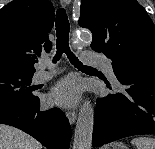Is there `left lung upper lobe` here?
<instances>
[{
  "label": "left lung upper lobe",
  "mask_w": 155,
  "mask_h": 149,
  "mask_svg": "<svg viewBox=\"0 0 155 149\" xmlns=\"http://www.w3.org/2000/svg\"><path fill=\"white\" fill-rule=\"evenodd\" d=\"M79 25L92 32L91 48L113 65L155 63V27L136 0H82Z\"/></svg>",
  "instance_id": "obj_1"
}]
</instances>
